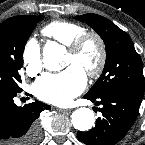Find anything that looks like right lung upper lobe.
I'll use <instances>...</instances> for the list:
<instances>
[{
  "instance_id": "right-lung-upper-lobe-1",
  "label": "right lung upper lobe",
  "mask_w": 145,
  "mask_h": 145,
  "mask_svg": "<svg viewBox=\"0 0 145 145\" xmlns=\"http://www.w3.org/2000/svg\"><path fill=\"white\" fill-rule=\"evenodd\" d=\"M29 16L30 15H20V16H15V17L9 18L6 21H4L3 23H1L0 26H8V25L18 23V22L26 19Z\"/></svg>"
}]
</instances>
